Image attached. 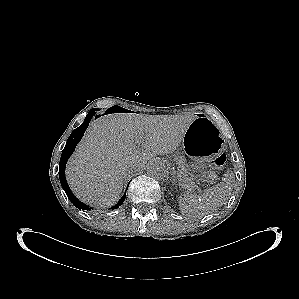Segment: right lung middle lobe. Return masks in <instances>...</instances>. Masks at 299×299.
Masks as SVG:
<instances>
[{"instance_id": "right-lung-middle-lobe-1", "label": "right lung middle lobe", "mask_w": 299, "mask_h": 299, "mask_svg": "<svg viewBox=\"0 0 299 299\" xmlns=\"http://www.w3.org/2000/svg\"><path fill=\"white\" fill-rule=\"evenodd\" d=\"M92 110L97 111V108H94V109H92Z\"/></svg>"}]
</instances>
